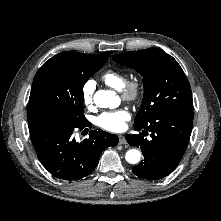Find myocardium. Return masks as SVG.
I'll list each match as a JSON object with an SVG mask.
<instances>
[{
    "mask_svg": "<svg viewBox=\"0 0 221 221\" xmlns=\"http://www.w3.org/2000/svg\"><path fill=\"white\" fill-rule=\"evenodd\" d=\"M121 92L126 101L137 103L143 95V85L140 80L133 79L126 82Z\"/></svg>",
    "mask_w": 221,
    "mask_h": 221,
    "instance_id": "1",
    "label": "myocardium"
}]
</instances>
